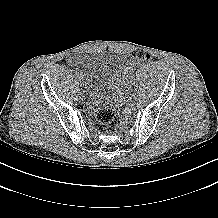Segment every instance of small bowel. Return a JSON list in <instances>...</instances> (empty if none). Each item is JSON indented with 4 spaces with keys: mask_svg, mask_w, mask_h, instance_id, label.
<instances>
[{
    "mask_svg": "<svg viewBox=\"0 0 218 218\" xmlns=\"http://www.w3.org/2000/svg\"><path fill=\"white\" fill-rule=\"evenodd\" d=\"M67 61L69 64L74 65L76 63V58L75 56L71 55L68 57Z\"/></svg>",
    "mask_w": 218,
    "mask_h": 218,
    "instance_id": "obj_1",
    "label": "small bowel"
}]
</instances>
